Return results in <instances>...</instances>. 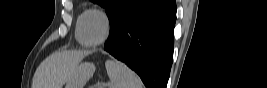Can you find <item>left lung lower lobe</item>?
I'll use <instances>...</instances> for the list:
<instances>
[{
	"label": "left lung lower lobe",
	"instance_id": "left-lung-lower-lobe-1",
	"mask_svg": "<svg viewBox=\"0 0 267 88\" xmlns=\"http://www.w3.org/2000/svg\"><path fill=\"white\" fill-rule=\"evenodd\" d=\"M175 21V0H132L111 26L104 50L137 72L147 88H166Z\"/></svg>",
	"mask_w": 267,
	"mask_h": 88
}]
</instances>
